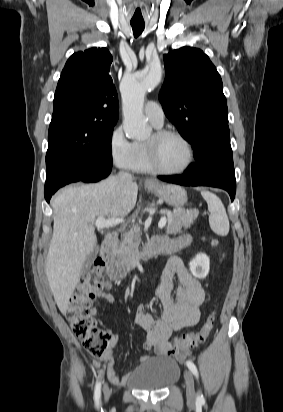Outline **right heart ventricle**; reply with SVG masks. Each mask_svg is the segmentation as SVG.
Listing matches in <instances>:
<instances>
[{
  "instance_id": "obj_1",
  "label": "right heart ventricle",
  "mask_w": 283,
  "mask_h": 412,
  "mask_svg": "<svg viewBox=\"0 0 283 412\" xmlns=\"http://www.w3.org/2000/svg\"><path fill=\"white\" fill-rule=\"evenodd\" d=\"M133 146L134 155L129 169L137 173L153 172L148 162L145 142H135Z\"/></svg>"
}]
</instances>
